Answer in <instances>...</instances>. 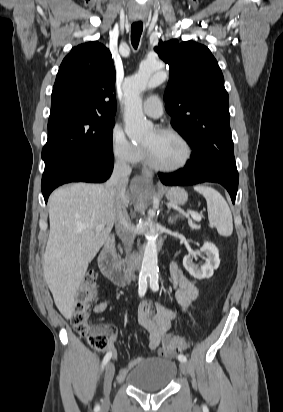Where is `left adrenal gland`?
I'll use <instances>...</instances> for the list:
<instances>
[{
    "instance_id": "1",
    "label": "left adrenal gland",
    "mask_w": 283,
    "mask_h": 412,
    "mask_svg": "<svg viewBox=\"0 0 283 412\" xmlns=\"http://www.w3.org/2000/svg\"><path fill=\"white\" fill-rule=\"evenodd\" d=\"M177 218H178V216H177V215H176V216H173V217H170V218L168 219V223H169L170 225L175 224V223H176Z\"/></svg>"
}]
</instances>
